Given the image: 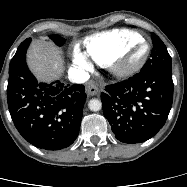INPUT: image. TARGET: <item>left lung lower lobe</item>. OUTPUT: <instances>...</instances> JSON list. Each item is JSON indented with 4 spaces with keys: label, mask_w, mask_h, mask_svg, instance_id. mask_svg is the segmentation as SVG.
<instances>
[{
    "label": "left lung lower lobe",
    "mask_w": 187,
    "mask_h": 187,
    "mask_svg": "<svg viewBox=\"0 0 187 187\" xmlns=\"http://www.w3.org/2000/svg\"><path fill=\"white\" fill-rule=\"evenodd\" d=\"M103 113L115 137L140 143L153 137L165 124L173 101L171 68L140 71L101 93Z\"/></svg>",
    "instance_id": "1"
}]
</instances>
